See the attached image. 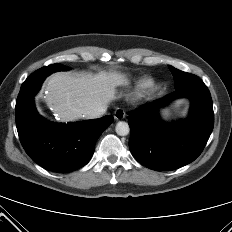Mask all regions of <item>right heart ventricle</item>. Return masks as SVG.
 I'll use <instances>...</instances> for the list:
<instances>
[{"label": "right heart ventricle", "mask_w": 232, "mask_h": 232, "mask_svg": "<svg viewBox=\"0 0 232 232\" xmlns=\"http://www.w3.org/2000/svg\"><path fill=\"white\" fill-rule=\"evenodd\" d=\"M120 80H121V82H127L128 81V79L125 78V77L121 78Z\"/></svg>", "instance_id": "right-heart-ventricle-1"}]
</instances>
